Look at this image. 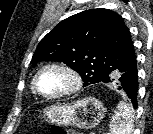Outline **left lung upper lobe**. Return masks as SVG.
Returning <instances> with one entry per match:
<instances>
[{
    "label": "left lung upper lobe",
    "instance_id": "left-lung-upper-lobe-1",
    "mask_svg": "<svg viewBox=\"0 0 153 134\" xmlns=\"http://www.w3.org/2000/svg\"><path fill=\"white\" fill-rule=\"evenodd\" d=\"M135 54L123 18L108 9H90L61 21L38 44L32 65L63 61L84 86L101 83Z\"/></svg>",
    "mask_w": 153,
    "mask_h": 134
}]
</instances>
